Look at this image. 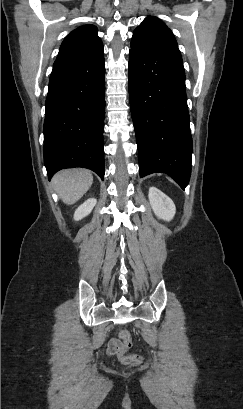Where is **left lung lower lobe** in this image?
Listing matches in <instances>:
<instances>
[{"mask_svg": "<svg viewBox=\"0 0 243 409\" xmlns=\"http://www.w3.org/2000/svg\"><path fill=\"white\" fill-rule=\"evenodd\" d=\"M128 81L140 177L167 173L184 189L191 173L192 138L178 47L130 50Z\"/></svg>", "mask_w": 243, "mask_h": 409, "instance_id": "0a47b994", "label": "left lung lower lobe"}]
</instances>
